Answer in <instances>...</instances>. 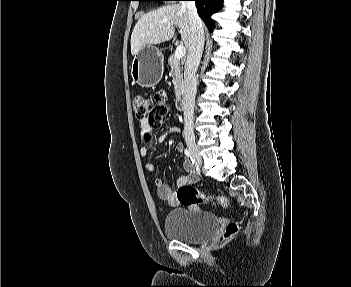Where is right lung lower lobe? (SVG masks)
Instances as JSON below:
<instances>
[{
  "label": "right lung lower lobe",
  "instance_id": "1",
  "mask_svg": "<svg viewBox=\"0 0 351 287\" xmlns=\"http://www.w3.org/2000/svg\"><path fill=\"white\" fill-rule=\"evenodd\" d=\"M179 1V0H176ZM196 2L197 11L201 19L205 22L209 31L213 30L212 14L217 12L223 4V0H194Z\"/></svg>",
  "mask_w": 351,
  "mask_h": 287
}]
</instances>
